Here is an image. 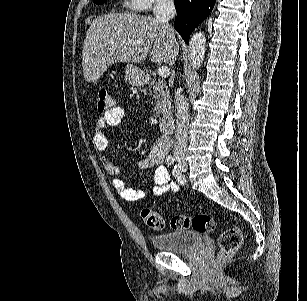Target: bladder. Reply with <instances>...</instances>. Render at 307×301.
<instances>
[{"mask_svg": "<svg viewBox=\"0 0 307 301\" xmlns=\"http://www.w3.org/2000/svg\"><path fill=\"white\" fill-rule=\"evenodd\" d=\"M152 242L158 251L177 253L191 251L203 242V238L198 232L178 230L164 235H153Z\"/></svg>", "mask_w": 307, "mask_h": 301, "instance_id": "bladder-1", "label": "bladder"}]
</instances>
